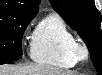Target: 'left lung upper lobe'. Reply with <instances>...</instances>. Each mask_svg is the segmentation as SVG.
I'll use <instances>...</instances> for the list:
<instances>
[{"label": "left lung upper lobe", "instance_id": "obj_1", "mask_svg": "<svg viewBox=\"0 0 102 75\" xmlns=\"http://www.w3.org/2000/svg\"><path fill=\"white\" fill-rule=\"evenodd\" d=\"M50 3L87 44L93 64L98 74H102L101 15L94 0H50Z\"/></svg>", "mask_w": 102, "mask_h": 75}]
</instances>
